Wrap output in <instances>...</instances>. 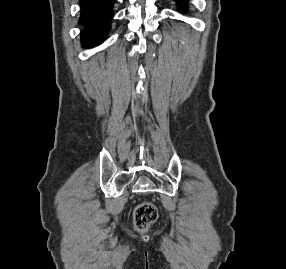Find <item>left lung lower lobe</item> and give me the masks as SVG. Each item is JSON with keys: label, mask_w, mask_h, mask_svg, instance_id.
<instances>
[{"label": "left lung lower lobe", "mask_w": 286, "mask_h": 269, "mask_svg": "<svg viewBox=\"0 0 286 269\" xmlns=\"http://www.w3.org/2000/svg\"><path fill=\"white\" fill-rule=\"evenodd\" d=\"M177 2L179 3V6H180L181 8L186 7V2H187V0H177Z\"/></svg>", "instance_id": "1"}]
</instances>
